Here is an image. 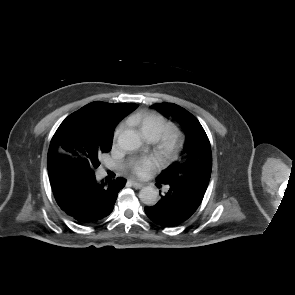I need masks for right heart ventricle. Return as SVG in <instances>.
Masks as SVG:
<instances>
[{
    "mask_svg": "<svg viewBox=\"0 0 295 295\" xmlns=\"http://www.w3.org/2000/svg\"><path fill=\"white\" fill-rule=\"evenodd\" d=\"M130 122L149 140H156L162 131L169 126L167 119L155 111H141L131 116Z\"/></svg>",
    "mask_w": 295,
    "mask_h": 295,
    "instance_id": "1",
    "label": "right heart ventricle"
}]
</instances>
